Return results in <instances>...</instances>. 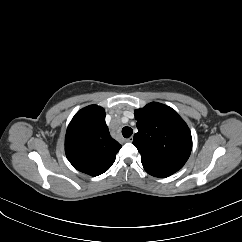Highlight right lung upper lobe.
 Returning a JSON list of instances; mask_svg holds the SVG:
<instances>
[{
	"label": "right lung upper lobe",
	"mask_w": 242,
	"mask_h": 242,
	"mask_svg": "<svg viewBox=\"0 0 242 242\" xmlns=\"http://www.w3.org/2000/svg\"><path fill=\"white\" fill-rule=\"evenodd\" d=\"M121 147L109 134L105 110L97 105L77 112L67 128V159L78 171L88 175L98 176L106 172Z\"/></svg>",
	"instance_id": "1"
}]
</instances>
